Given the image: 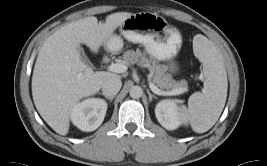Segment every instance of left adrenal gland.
<instances>
[{
	"label": "left adrenal gland",
	"instance_id": "1",
	"mask_svg": "<svg viewBox=\"0 0 267 166\" xmlns=\"http://www.w3.org/2000/svg\"><path fill=\"white\" fill-rule=\"evenodd\" d=\"M147 93L149 95V102H151L153 98L157 99V97L155 95L151 94L149 90H147Z\"/></svg>",
	"mask_w": 267,
	"mask_h": 166
}]
</instances>
